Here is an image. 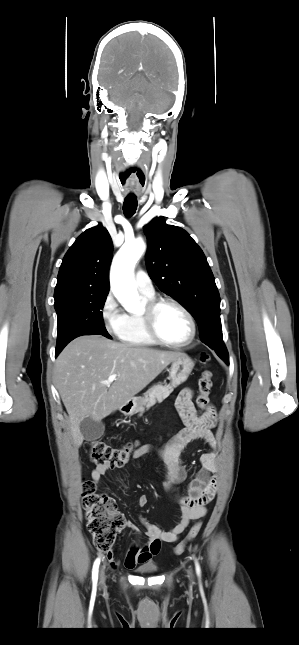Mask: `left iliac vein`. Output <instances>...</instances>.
Segmentation results:
<instances>
[{"instance_id":"1","label":"left iliac vein","mask_w":299,"mask_h":645,"mask_svg":"<svg viewBox=\"0 0 299 645\" xmlns=\"http://www.w3.org/2000/svg\"><path fill=\"white\" fill-rule=\"evenodd\" d=\"M188 576H189V578L192 579L193 575H192V570L191 569L188 570Z\"/></svg>"}]
</instances>
